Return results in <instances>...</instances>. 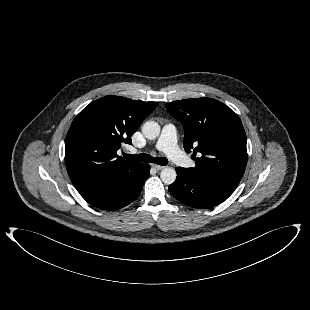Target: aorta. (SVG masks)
<instances>
[{"instance_id": "aorta-1", "label": "aorta", "mask_w": 310, "mask_h": 310, "mask_svg": "<svg viewBox=\"0 0 310 310\" xmlns=\"http://www.w3.org/2000/svg\"><path fill=\"white\" fill-rule=\"evenodd\" d=\"M142 133L147 139H156L160 134V125L155 121H147L142 126ZM176 177V171L171 167H165L160 173L161 180L167 185L172 184Z\"/></svg>"}]
</instances>
